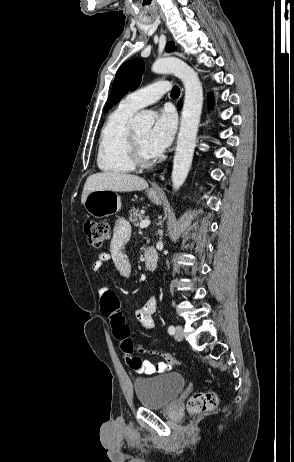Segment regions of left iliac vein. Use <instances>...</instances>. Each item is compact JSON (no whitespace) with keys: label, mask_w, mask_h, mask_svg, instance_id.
Instances as JSON below:
<instances>
[{"label":"left iliac vein","mask_w":294,"mask_h":462,"mask_svg":"<svg viewBox=\"0 0 294 462\" xmlns=\"http://www.w3.org/2000/svg\"><path fill=\"white\" fill-rule=\"evenodd\" d=\"M174 338L179 342L183 340V329L180 325L176 326Z\"/></svg>","instance_id":"obj_1"}]
</instances>
